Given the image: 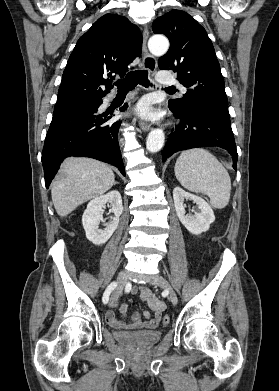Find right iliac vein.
Returning <instances> with one entry per match:
<instances>
[{
  "mask_svg": "<svg viewBox=\"0 0 279 391\" xmlns=\"http://www.w3.org/2000/svg\"><path fill=\"white\" fill-rule=\"evenodd\" d=\"M125 284H126V274L124 271H122L119 273L117 277V287L110 298L109 306H113V304L117 301L118 297L120 296V294L124 289Z\"/></svg>",
  "mask_w": 279,
  "mask_h": 391,
  "instance_id": "1",
  "label": "right iliac vein"
}]
</instances>
